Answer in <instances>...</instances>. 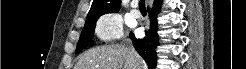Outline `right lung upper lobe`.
Segmentation results:
<instances>
[{
	"instance_id": "cb5924a9",
	"label": "right lung upper lobe",
	"mask_w": 246,
	"mask_h": 69,
	"mask_svg": "<svg viewBox=\"0 0 246 69\" xmlns=\"http://www.w3.org/2000/svg\"><path fill=\"white\" fill-rule=\"evenodd\" d=\"M120 4L121 0H93L86 21L96 20L103 14L118 12Z\"/></svg>"
}]
</instances>
